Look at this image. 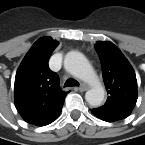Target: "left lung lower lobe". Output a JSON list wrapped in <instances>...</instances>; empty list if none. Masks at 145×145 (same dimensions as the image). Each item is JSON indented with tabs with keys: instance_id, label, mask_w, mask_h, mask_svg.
Listing matches in <instances>:
<instances>
[{
	"instance_id": "left-lung-lower-lobe-1",
	"label": "left lung lower lobe",
	"mask_w": 145,
	"mask_h": 145,
	"mask_svg": "<svg viewBox=\"0 0 145 145\" xmlns=\"http://www.w3.org/2000/svg\"><path fill=\"white\" fill-rule=\"evenodd\" d=\"M91 111H92V113H93L94 115H96L97 117H99V118L102 119V120H105V121H108V122H113V121H114V120H112V119H109V118H106V117H103V116H100V115L96 114V113L93 111V109H92Z\"/></svg>"
}]
</instances>
